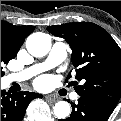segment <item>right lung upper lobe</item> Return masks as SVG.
Masks as SVG:
<instances>
[{
	"label": "right lung upper lobe",
	"mask_w": 121,
	"mask_h": 121,
	"mask_svg": "<svg viewBox=\"0 0 121 121\" xmlns=\"http://www.w3.org/2000/svg\"><path fill=\"white\" fill-rule=\"evenodd\" d=\"M33 30V26H14L8 22L1 21V35L7 37L11 42L20 47L25 38L32 33Z\"/></svg>",
	"instance_id": "right-lung-upper-lobe-1"
}]
</instances>
